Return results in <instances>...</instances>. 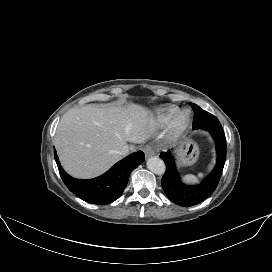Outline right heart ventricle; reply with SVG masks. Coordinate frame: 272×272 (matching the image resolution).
<instances>
[{"mask_svg":"<svg viewBox=\"0 0 272 272\" xmlns=\"http://www.w3.org/2000/svg\"><path fill=\"white\" fill-rule=\"evenodd\" d=\"M177 110L178 108L175 106L163 108L157 113V120L161 123L167 122Z\"/></svg>","mask_w":272,"mask_h":272,"instance_id":"1","label":"right heart ventricle"}]
</instances>
